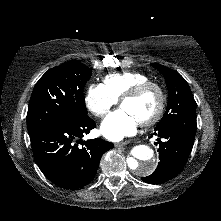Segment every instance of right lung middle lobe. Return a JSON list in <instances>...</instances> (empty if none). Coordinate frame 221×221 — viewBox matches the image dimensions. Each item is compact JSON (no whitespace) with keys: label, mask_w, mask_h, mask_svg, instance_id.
I'll use <instances>...</instances> for the list:
<instances>
[{"label":"right lung middle lobe","mask_w":221,"mask_h":221,"mask_svg":"<svg viewBox=\"0 0 221 221\" xmlns=\"http://www.w3.org/2000/svg\"><path fill=\"white\" fill-rule=\"evenodd\" d=\"M91 74L87 66L77 61L48 70L35 85L30 98L27 113L29 135L87 115L83 88Z\"/></svg>","instance_id":"obj_1"}]
</instances>
